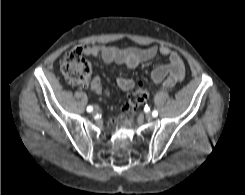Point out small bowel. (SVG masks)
Masks as SVG:
<instances>
[{
    "label": "small bowel",
    "mask_w": 245,
    "mask_h": 195,
    "mask_svg": "<svg viewBox=\"0 0 245 195\" xmlns=\"http://www.w3.org/2000/svg\"><path fill=\"white\" fill-rule=\"evenodd\" d=\"M84 53L92 57H100L105 63H116L128 68H135L141 63L154 59L158 54L168 58V63L159 65L151 73V79L155 85L161 84L165 88L173 87L183 81L185 66L180 55L166 46H150L148 48H118L115 46L94 45L84 48ZM118 87L124 91L134 89L132 79L119 77L116 80ZM94 93H108L103 89L102 80L95 76L88 84Z\"/></svg>",
    "instance_id": "c3829d8e"
}]
</instances>
